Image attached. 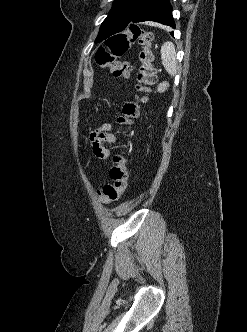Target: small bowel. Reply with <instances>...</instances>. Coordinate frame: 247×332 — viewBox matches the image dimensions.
<instances>
[{
	"label": "small bowel",
	"instance_id": "1",
	"mask_svg": "<svg viewBox=\"0 0 247 332\" xmlns=\"http://www.w3.org/2000/svg\"><path fill=\"white\" fill-rule=\"evenodd\" d=\"M89 140L93 154L100 159H106L110 154L104 144L117 142L116 136L112 133L111 123H105L98 129L91 132Z\"/></svg>",
	"mask_w": 247,
	"mask_h": 332
}]
</instances>
